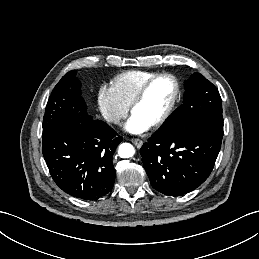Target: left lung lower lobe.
I'll use <instances>...</instances> for the list:
<instances>
[{
  "mask_svg": "<svg viewBox=\"0 0 259 259\" xmlns=\"http://www.w3.org/2000/svg\"><path fill=\"white\" fill-rule=\"evenodd\" d=\"M223 138V119L202 117L184 128L157 131L141 148L143 166L157 191L170 196L186 194L210 175Z\"/></svg>",
  "mask_w": 259,
  "mask_h": 259,
  "instance_id": "1",
  "label": "left lung lower lobe"
}]
</instances>
